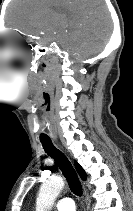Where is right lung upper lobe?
<instances>
[{
  "label": "right lung upper lobe",
  "mask_w": 133,
  "mask_h": 211,
  "mask_svg": "<svg viewBox=\"0 0 133 211\" xmlns=\"http://www.w3.org/2000/svg\"><path fill=\"white\" fill-rule=\"evenodd\" d=\"M75 167L82 180H86V173L78 162L75 161Z\"/></svg>",
  "instance_id": "cb5924a9"
}]
</instances>
